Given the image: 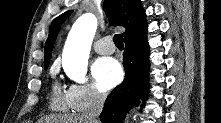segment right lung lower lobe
Instances as JSON below:
<instances>
[{
  "instance_id": "obj_1",
  "label": "right lung lower lobe",
  "mask_w": 221,
  "mask_h": 123,
  "mask_svg": "<svg viewBox=\"0 0 221 123\" xmlns=\"http://www.w3.org/2000/svg\"><path fill=\"white\" fill-rule=\"evenodd\" d=\"M124 42L126 48L123 53V66L126 75L123 82L107 97L100 115L102 123H121L125 114L139 99L145 101L147 96L149 71L147 33Z\"/></svg>"
}]
</instances>
